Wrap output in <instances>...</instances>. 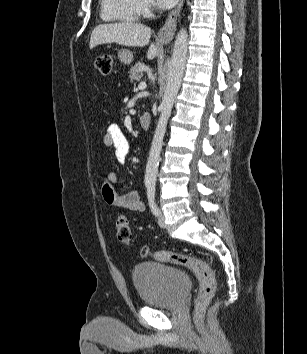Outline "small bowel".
Returning a JSON list of instances; mask_svg holds the SVG:
<instances>
[{
  "instance_id": "1",
  "label": "small bowel",
  "mask_w": 307,
  "mask_h": 354,
  "mask_svg": "<svg viewBox=\"0 0 307 354\" xmlns=\"http://www.w3.org/2000/svg\"><path fill=\"white\" fill-rule=\"evenodd\" d=\"M103 143L105 146L114 150L115 157L119 163H123L129 154L130 143L118 124L108 125ZM119 181L118 175L115 172H109L102 182V195L105 202L113 207L130 210L143 211L144 203L136 191H130L125 194L116 192L114 185Z\"/></svg>"
}]
</instances>
